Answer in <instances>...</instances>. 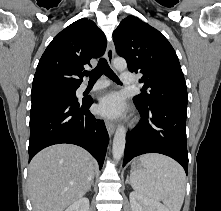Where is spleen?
<instances>
[{"mask_svg": "<svg viewBox=\"0 0 221 211\" xmlns=\"http://www.w3.org/2000/svg\"><path fill=\"white\" fill-rule=\"evenodd\" d=\"M143 168L132 171L130 184L139 194L162 201L169 211H180L186 186L183 168L174 160L161 154L140 157Z\"/></svg>", "mask_w": 221, "mask_h": 211, "instance_id": "1", "label": "spleen"}]
</instances>
